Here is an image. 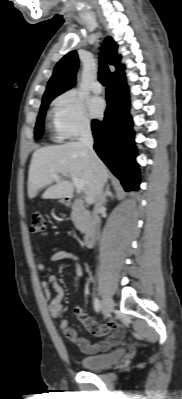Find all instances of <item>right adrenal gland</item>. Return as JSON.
I'll use <instances>...</instances> for the list:
<instances>
[{"label":"right adrenal gland","instance_id":"obj_1","mask_svg":"<svg viewBox=\"0 0 182 399\" xmlns=\"http://www.w3.org/2000/svg\"><path fill=\"white\" fill-rule=\"evenodd\" d=\"M113 196H114L113 193L110 191V185L107 184V185H106V190H105V193H104L103 202L106 203V201H107L106 198H107V197H111V198H112Z\"/></svg>","mask_w":182,"mask_h":399}]
</instances>
